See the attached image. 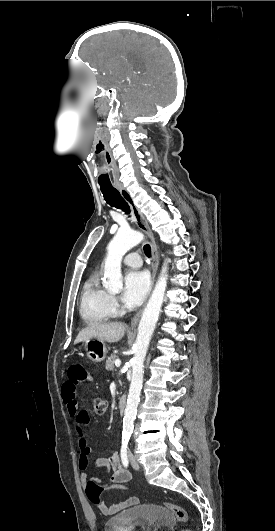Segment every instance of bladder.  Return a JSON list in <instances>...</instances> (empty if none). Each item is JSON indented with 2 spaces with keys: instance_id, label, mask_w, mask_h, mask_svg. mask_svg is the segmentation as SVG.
Masks as SVG:
<instances>
[{
  "instance_id": "bladder-1",
  "label": "bladder",
  "mask_w": 275,
  "mask_h": 531,
  "mask_svg": "<svg viewBox=\"0 0 275 531\" xmlns=\"http://www.w3.org/2000/svg\"><path fill=\"white\" fill-rule=\"evenodd\" d=\"M174 515L159 503L139 504L104 521V531H173Z\"/></svg>"
}]
</instances>
